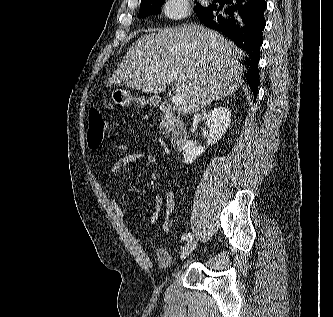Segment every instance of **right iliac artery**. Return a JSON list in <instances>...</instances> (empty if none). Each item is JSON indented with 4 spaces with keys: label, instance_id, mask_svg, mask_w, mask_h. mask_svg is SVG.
<instances>
[{
    "label": "right iliac artery",
    "instance_id": "obj_1",
    "mask_svg": "<svg viewBox=\"0 0 333 317\" xmlns=\"http://www.w3.org/2000/svg\"><path fill=\"white\" fill-rule=\"evenodd\" d=\"M181 239L182 240H187V241H191L192 239H193V235L191 234V233H186V234H184V235H182V237H181Z\"/></svg>",
    "mask_w": 333,
    "mask_h": 317
}]
</instances>
